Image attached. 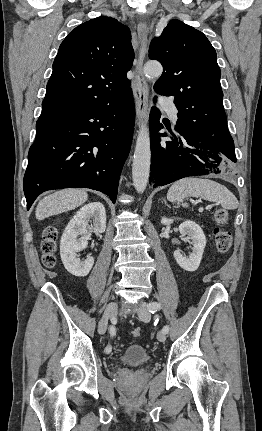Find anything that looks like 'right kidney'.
Returning <instances> with one entry per match:
<instances>
[{
	"instance_id": "obj_1",
	"label": "right kidney",
	"mask_w": 262,
	"mask_h": 431,
	"mask_svg": "<svg viewBox=\"0 0 262 431\" xmlns=\"http://www.w3.org/2000/svg\"><path fill=\"white\" fill-rule=\"evenodd\" d=\"M93 221V225L89 222ZM103 233L106 229V211L100 202H92L83 206L70 220L60 242V255L65 269L79 277L88 275L94 258L87 257L84 261L77 258V252L85 249L88 244V231Z\"/></svg>"
}]
</instances>
